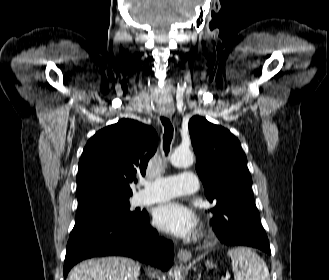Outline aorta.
Segmentation results:
<instances>
[{"label":"aorta","instance_id":"762f6f07","mask_svg":"<svg viewBox=\"0 0 329 280\" xmlns=\"http://www.w3.org/2000/svg\"><path fill=\"white\" fill-rule=\"evenodd\" d=\"M170 161L176 167H188L193 164L194 156L189 149L177 148L171 154ZM180 275L179 271L174 270L175 280H180Z\"/></svg>","mask_w":329,"mask_h":280}]
</instances>
